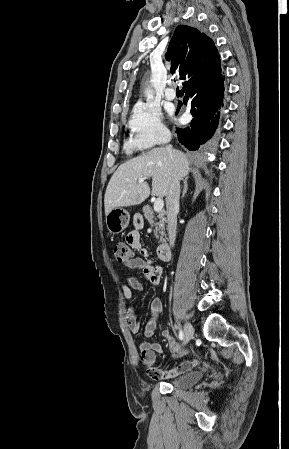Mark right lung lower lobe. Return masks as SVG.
<instances>
[{
	"label": "right lung lower lobe",
	"mask_w": 289,
	"mask_h": 449,
	"mask_svg": "<svg viewBox=\"0 0 289 449\" xmlns=\"http://www.w3.org/2000/svg\"><path fill=\"white\" fill-rule=\"evenodd\" d=\"M224 80L221 65H218L204 77L185 85L187 89L184 104L189 100L194 118L189 127L178 128L177 135L179 142L187 149L197 150L213 137L223 107ZM181 106L182 102H179L176 113Z\"/></svg>",
	"instance_id": "obj_1"
}]
</instances>
